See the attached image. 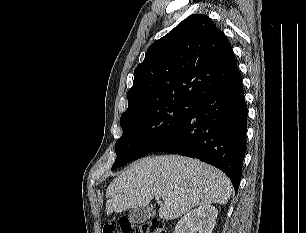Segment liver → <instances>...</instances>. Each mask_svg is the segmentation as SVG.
<instances>
[{"label": "liver", "instance_id": "6515ba94", "mask_svg": "<svg viewBox=\"0 0 306 233\" xmlns=\"http://www.w3.org/2000/svg\"><path fill=\"white\" fill-rule=\"evenodd\" d=\"M232 184L217 168L197 159L178 156H152L135 162L107 187V215L149 204L154 196L165 205L159 217L172 220L202 205L227 204Z\"/></svg>", "mask_w": 306, "mask_h": 233}]
</instances>
